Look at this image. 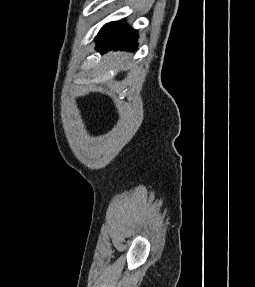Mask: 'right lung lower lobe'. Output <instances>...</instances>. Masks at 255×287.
<instances>
[{
  "label": "right lung lower lobe",
  "instance_id": "1",
  "mask_svg": "<svg viewBox=\"0 0 255 287\" xmlns=\"http://www.w3.org/2000/svg\"><path fill=\"white\" fill-rule=\"evenodd\" d=\"M137 31L124 21L106 24L96 36V49L101 53L109 50L135 51L137 48Z\"/></svg>",
  "mask_w": 255,
  "mask_h": 287
}]
</instances>
